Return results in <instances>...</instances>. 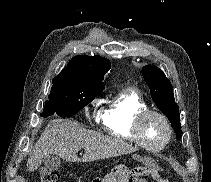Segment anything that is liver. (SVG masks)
Listing matches in <instances>:
<instances>
[{
	"mask_svg": "<svg viewBox=\"0 0 211 182\" xmlns=\"http://www.w3.org/2000/svg\"><path fill=\"white\" fill-rule=\"evenodd\" d=\"M83 148L84 156L77 157ZM127 142L85 129L80 123L66 119H54L43 130L27 160V171L36 170L41 161L55 154L66 161L90 162L116 157L136 151Z\"/></svg>",
	"mask_w": 211,
	"mask_h": 182,
	"instance_id": "6515ba94",
	"label": "liver"
}]
</instances>
